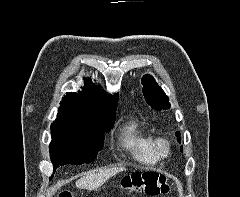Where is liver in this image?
Returning a JSON list of instances; mask_svg holds the SVG:
<instances>
[{"label":"liver","instance_id":"obj_1","mask_svg":"<svg viewBox=\"0 0 240 197\" xmlns=\"http://www.w3.org/2000/svg\"><path fill=\"white\" fill-rule=\"evenodd\" d=\"M125 168L115 167L100 170L97 173H88L76 181V187L85 190H94L104 184L110 177L124 171Z\"/></svg>","mask_w":240,"mask_h":197}]
</instances>
